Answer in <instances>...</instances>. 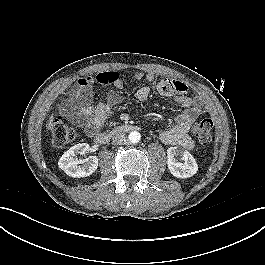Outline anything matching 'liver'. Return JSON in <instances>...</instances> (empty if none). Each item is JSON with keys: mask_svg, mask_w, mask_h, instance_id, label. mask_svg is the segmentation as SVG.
<instances>
[{"mask_svg": "<svg viewBox=\"0 0 265 265\" xmlns=\"http://www.w3.org/2000/svg\"><path fill=\"white\" fill-rule=\"evenodd\" d=\"M53 127V115L50 116L49 122L47 124V129L50 130Z\"/></svg>", "mask_w": 265, "mask_h": 265, "instance_id": "1", "label": "liver"}]
</instances>
